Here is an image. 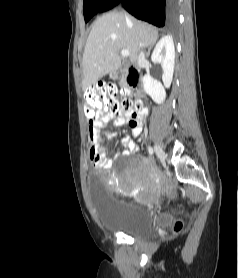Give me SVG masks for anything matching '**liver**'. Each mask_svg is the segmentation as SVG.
<instances>
[{
    "mask_svg": "<svg viewBox=\"0 0 238 278\" xmlns=\"http://www.w3.org/2000/svg\"><path fill=\"white\" fill-rule=\"evenodd\" d=\"M158 40L155 27L112 11L97 18L88 36L82 60V89L85 91L99 79L118 70L120 50H128L131 63L137 61L140 49Z\"/></svg>",
    "mask_w": 238,
    "mask_h": 278,
    "instance_id": "1",
    "label": "liver"
}]
</instances>
